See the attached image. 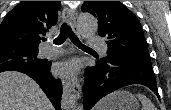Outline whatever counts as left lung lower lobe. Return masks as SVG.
Listing matches in <instances>:
<instances>
[{
    "mask_svg": "<svg viewBox=\"0 0 171 110\" xmlns=\"http://www.w3.org/2000/svg\"><path fill=\"white\" fill-rule=\"evenodd\" d=\"M131 84L150 88L160 99L151 64L109 58L107 61H98L93 67H87L83 86L84 110L91 109L107 94Z\"/></svg>",
    "mask_w": 171,
    "mask_h": 110,
    "instance_id": "obj_1",
    "label": "left lung lower lobe"
}]
</instances>
